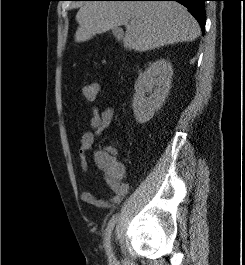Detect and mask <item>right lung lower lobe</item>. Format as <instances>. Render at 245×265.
Instances as JSON below:
<instances>
[{
	"mask_svg": "<svg viewBox=\"0 0 245 265\" xmlns=\"http://www.w3.org/2000/svg\"><path fill=\"white\" fill-rule=\"evenodd\" d=\"M124 1V0H122ZM125 1H177L190 10L192 15L198 21L204 33L206 23L205 1L206 0H125Z\"/></svg>",
	"mask_w": 245,
	"mask_h": 265,
	"instance_id": "obj_1",
	"label": "right lung lower lobe"
}]
</instances>
